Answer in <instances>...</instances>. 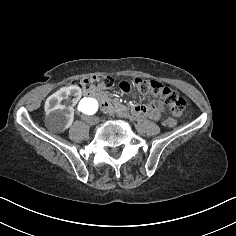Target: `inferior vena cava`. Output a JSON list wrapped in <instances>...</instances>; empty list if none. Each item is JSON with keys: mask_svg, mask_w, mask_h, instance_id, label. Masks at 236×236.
Wrapping results in <instances>:
<instances>
[{"mask_svg": "<svg viewBox=\"0 0 236 236\" xmlns=\"http://www.w3.org/2000/svg\"><path fill=\"white\" fill-rule=\"evenodd\" d=\"M82 119L87 122L89 125H96L99 122V119L96 116H89L87 117L86 115L82 116Z\"/></svg>", "mask_w": 236, "mask_h": 236, "instance_id": "1", "label": "inferior vena cava"}]
</instances>
